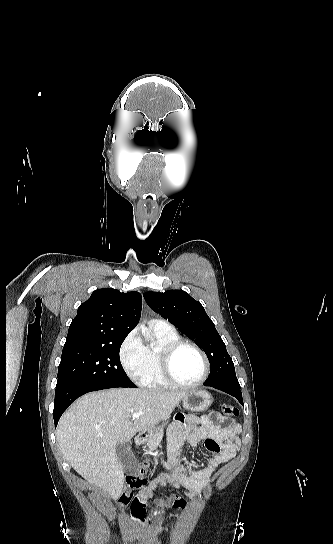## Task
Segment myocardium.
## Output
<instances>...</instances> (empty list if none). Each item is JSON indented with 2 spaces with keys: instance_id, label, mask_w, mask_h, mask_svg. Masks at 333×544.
<instances>
[{
  "instance_id": "myocardium-1",
  "label": "myocardium",
  "mask_w": 333,
  "mask_h": 544,
  "mask_svg": "<svg viewBox=\"0 0 333 544\" xmlns=\"http://www.w3.org/2000/svg\"><path fill=\"white\" fill-rule=\"evenodd\" d=\"M183 348H191L195 350L202 358L204 362V373L202 377L193 383H184L177 379L173 370V362L177 353ZM160 371L163 378L170 384L179 388H195L202 385L209 377L211 366L206 353L196 344L178 340L164 346L159 355Z\"/></svg>"
}]
</instances>
